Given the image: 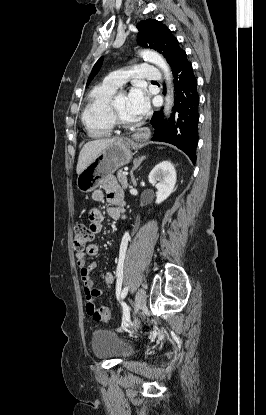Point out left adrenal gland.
I'll return each instance as SVG.
<instances>
[{
  "mask_svg": "<svg viewBox=\"0 0 266 415\" xmlns=\"http://www.w3.org/2000/svg\"><path fill=\"white\" fill-rule=\"evenodd\" d=\"M145 160V156H142V157H139L138 159H135L134 161H133V168H132V170H131V173H130V175H131V181H132V183H133V185L135 186L136 185V180H135V177H134V175H133V172L141 165V163L143 162Z\"/></svg>",
  "mask_w": 266,
  "mask_h": 415,
  "instance_id": "obj_1",
  "label": "left adrenal gland"
}]
</instances>
